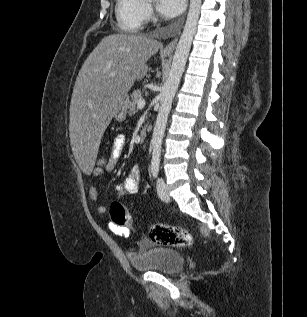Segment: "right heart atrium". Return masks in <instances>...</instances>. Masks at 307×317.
<instances>
[{"label": "right heart atrium", "instance_id": "right-heart-atrium-1", "mask_svg": "<svg viewBox=\"0 0 307 317\" xmlns=\"http://www.w3.org/2000/svg\"><path fill=\"white\" fill-rule=\"evenodd\" d=\"M145 15H146V18H150L152 16V8L149 5H146Z\"/></svg>", "mask_w": 307, "mask_h": 317}]
</instances>
